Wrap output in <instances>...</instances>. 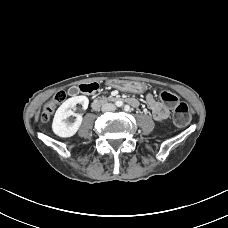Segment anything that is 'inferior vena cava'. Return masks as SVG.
Returning a JSON list of instances; mask_svg holds the SVG:
<instances>
[{
  "label": "inferior vena cava",
  "mask_w": 228,
  "mask_h": 228,
  "mask_svg": "<svg viewBox=\"0 0 228 228\" xmlns=\"http://www.w3.org/2000/svg\"><path fill=\"white\" fill-rule=\"evenodd\" d=\"M115 109L116 107L111 103L105 104L102 108L103 111H114Z\"/></svg>",
  "instance_id": "602c4592"
}]
</instances>
